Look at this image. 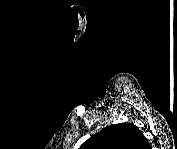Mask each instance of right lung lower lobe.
Here are the masks:
<instances>
[{"label": "right lung lower lobe", "mask_w": 177, "mask_h": 149, "mask_svg": "<svg viewBox=\"0 0 177 149\" xmlns=\"http://www.w3.org/2000/svg\"><path fill=\"white\" fill-rule=\"evenodd\" d=\"M145 140H146V141H145V142H146V143H145V146L148 147V146H149L148 140H147V139H145Z\"/></svg>", "instance_id": "right-lung-lower-lobe-1"}]
</instances>
